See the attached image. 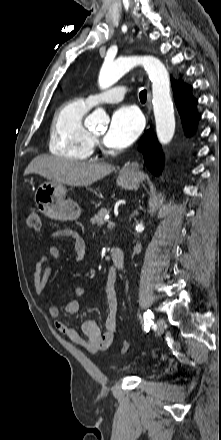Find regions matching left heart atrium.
<instances>
[{
  "instance_id": "left-heart-atrium-1",
  "label": "left heart atrium",
  "mask_w": 221,
  "mask_h": 440,
  "mask_svg": "<svg viewBox=\"0 0 221 440\" xmlns=\"http://www.w3.org/2000/svg\"><path fill=\"white\" fill-rule=\"evenodd\" d=\"M143 127L141 114L131 106L117 109L110 120L108 130L104 136L107 146L122 149L132 144Z\"/></svg>"
}]
</instances>
